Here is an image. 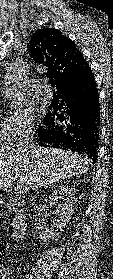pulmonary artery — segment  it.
Returning <instances> with one entry per match:
<instances>
[{
  "instance_id": "e3ab8cb5",
  "label": "pulmonary artery",
  "mask_w": 113,
  "mask_h": 279,
  "mask_svg": "<svg viewBox=\"0 0 113 279\" xmlns=\"http://www.w3.org/2000/svg\"><path fill=\"white\" fill-rule=\"evenodd\" d=\"M38 93H39V95L42 96V98L45 102L48 103V102L51 101L52 94H51V91H50L48 85L44 84L42 86H39L38 87Z\"/></svg>"
}]
</instances>
